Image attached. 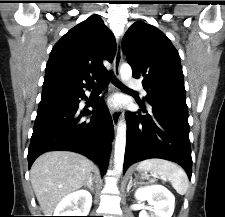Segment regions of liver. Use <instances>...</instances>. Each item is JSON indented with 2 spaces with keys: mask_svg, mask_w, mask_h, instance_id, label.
Wrapping results in <instances>:
<instances>
[{
  "mask_svg": "<svg viewBox=\"0 0 225 217\" xmlns=\"http://www.w3.org/2000/svg\"><path fill=\"white\" fill-rule=\"evenodd\" d=\"M97 170L91 160L69 151H51L39 156L30 170L36 198L45 216H52L59 202L85 185Z\"/></svg>",
  "mask_w": 225,
  "mask_h": 217,
  "instance_id": "6515ba94",
  "label": "liver"
}]
</instances>
